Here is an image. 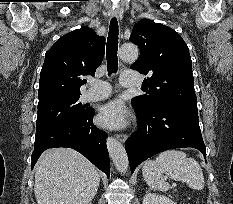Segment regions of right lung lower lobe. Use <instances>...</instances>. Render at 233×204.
I'll return each instance as SVG.
<instances>
[{
	"label": "right lung lower lobe",
	"mask_w": 233,
	"mask_h": 204,
	"mask_svg": "<svg viewBox=\"0 0 233 204\" xmlns=\"http://www.w3.org/2000/svg\"><path fill=\"white\" fill-rule=\"evenodd\" d=\"M93 116L94 110L90 109L86 115L74 122L62 123L36 134L31 168L33 169L38 158L46 149L67 147L84 155L109 177L107 134L93 124Z\"/></svg>",
	"instance_id": "1"
}]
</instances>
